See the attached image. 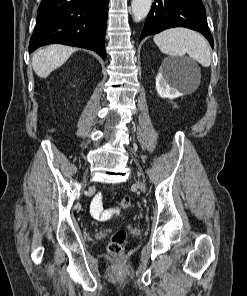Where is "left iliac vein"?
Listing matches in <instances>:
<instances>
[{
	"mask_svg": "<svg viewBox=\"0 0 247 296\" xmlns=\"http://www.w3.org/2000/svg\"><path fill=\"white\" fill-rule=\"evenodd\" d=\"M137 184L141 188V190L145 191L146 187H145V184L142 181H138Z\"/></svg>",
	"mask_w": 247,
	"mask_h": 296,
	"instance_id": "obj_1",
	"label": "left iliac vein"
}]
</instances>
